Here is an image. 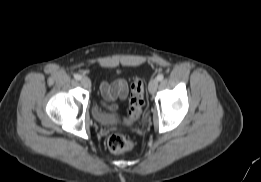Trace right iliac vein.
<instances>
[{
  "instance_id": "obj_1",
  "label": "right iliac vein",
  "mask_w": 261,
  "mask_h": 182,
  "mask_svg": "<svg viewBox=\"0 0 261 182\" xmlns=\"http://www.w3.org/2000/svg\"><path fill=\"white\" fill-rule=\"evenodd\" d=\"M81 84H82L83 87H85V88H87V89L91 87V81H90V79L87 78V77H83V78L81 79Z\"/></svg>"
}]
</instances>
